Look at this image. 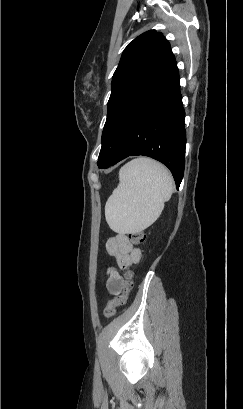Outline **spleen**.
Returning <instances> with one entry per match:
<instances>
[{"label":"spleen","instance_id":"spleen-1","mask_svg":"<svg viewBox=\"0 0 243 409\" xmlns=\"http://www.w3.org/2000/svg\"><path fill=\"white\" fill-rule=\"evenodd\" d=\"M173 193V178L161 163L133 159L119 171V184L105 205L110 228L118 233L140 232L160 216Z\"/></svg>","mask_w":243,"mask_h":409}]
</instances>
